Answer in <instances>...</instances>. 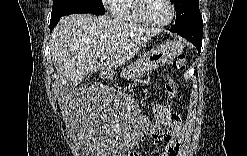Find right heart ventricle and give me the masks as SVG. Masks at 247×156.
Segmentation results:
<instances>
[{
    "instance_id": "e07e8e85",
    "label": "right heart ventricle",
    "mask_w": 247,
    "mask_h": 156,
    "mask_svg": "<svg viewBox=\"0 0 247 156\" xmlns=\"http://www.w3.org/2000/svg\"><path fill=\"white\" fill-rule=\"evenodd\" d=\"M134 5V0L115 1L111 6V12L117 20L128 23H142L135 12Z\"/></svg>"
}]
</instances>
